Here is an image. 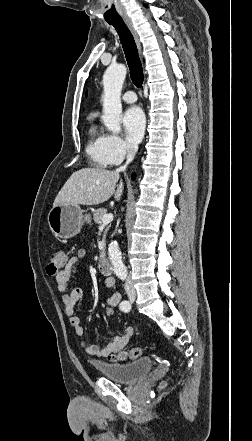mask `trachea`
Here are the masks:
<instances>
[{
    "label": "trachea",
    "instance_id": "3493384b",
    "mask_svg": "<svg viewBox=\"0 0 252 441\" xmlns=\"http://www.w3.org/2000/svg\"><path fill=\"white\" fill-rule=\"evenodd\" d=\"M108 23L116 29L119 35L128 67L130 69V77L132 82L137 88H141L144 80L143 68L132 33L122 19L108 21Z\"/></svg>",
    "mask_w": 252,
    "mask_h": 441
}]
</instances>
